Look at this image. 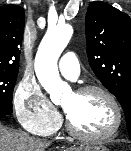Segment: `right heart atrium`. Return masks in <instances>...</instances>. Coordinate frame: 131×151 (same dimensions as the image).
I'll return each instance as SVG.
<instances>
[{
    "instance_id": "right-heart-atrium-1",
    "label": "right heart atrium",
    "mask_w": 131,
    "mask_h": 151,
    "mask_svg": "<svg viewBox=\"0 0 131 151\" xmlns=\"http://www.w3.org/2000/svg\"><path fill=\"white\" fill-rule=\"evenodd\" d=\"M13 107L20 125L29 133L48 135L61 122V116L38 84L24 78L13 95Z\"/></svg>"
}]
</instances>
